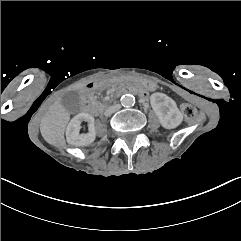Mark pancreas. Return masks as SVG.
I'll use <instances>...</instances> for the list:
<instances>
[{
  "label": "pancreas",
  "instance_id": "pancreas-1",
  "mask_svg": "<svg viewBox=\"0 0 241 241\" xmlns=\"http://www.w3.org/2000/svg\"><path fill=\"white\" fill-rule=\"evenodd\" d=\"M90 100H91L92 105L94 107H96V105H97L96 104V102H97L96 99L94 97H91ZM106 106H107L106 103H98V108H99L100 111L104 110L106 108Z\"/></svg>",
  "mask_w": 241,
  "mask_h": 241
}]
</instances>
